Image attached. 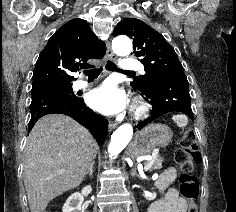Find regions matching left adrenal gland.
<instances>
[{
	"label": "left adrenal gland",
	"mask_w": 236,
	"mask_h": 212,
	"mask_svg": "<svg viewBox=\"0 0 236 212\" xmlns=\"http://www.w3.org/2000/svg\"><path fill=\"white\" fill-rule=\"evenodd\" d=\"M131 175L132 176H137V177L140 178L139 174H137V172H136V168L132 169Z\"/></svg>",
	"instance_id": "1"
}]
</instances>
